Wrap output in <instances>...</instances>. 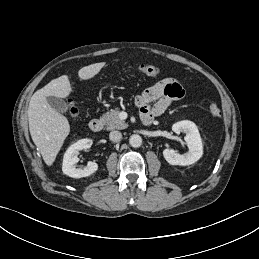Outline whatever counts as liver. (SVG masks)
I'll list each match as a JSON object with an SVG mask.
<instances>
[{"instance_id": "6515ba94", "label": "liver", "mask_w": 259, "mask_h": 259, "mask_svg": "<svg viewBox=\"0 0 259 259\" xmlns=\"http://www.w3.org/2000/svg\"><path fill=\"white\" fill-rule=\"evenodd\" d=\"M104 66L105 62L85 66L78 71V76L81 80L90 79L97 75ZM71 92L72 88L68 76L62 75L37 90L29 103L30 134L48 166H51L55 161L70 132V125L65 116L49 105L47 97L66 98Z\"/></svg>"}]
</instances>
